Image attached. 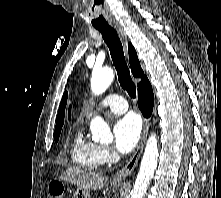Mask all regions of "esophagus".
<instances>
[{"label": "esophagus", "instance_id": "34e87169", "mask_svg": "<svg viewBox=\"0 0 221 198\" xmlns=\"http://www.w3.org/2000/svg\"><path fill=\"white\" fill-rule=\"evenodd\" d=\"M114 29L117 31L123 45L125 52L127 53V43H128V37L123 29V27L120 24H113ZM149 120L145 119L144 120V125H143V130H142V135L139 141V144L137 146L136 151L134 152L133 156L130 158L128 163L123 167L114 177H113V182L115 183H120L123 182L127 179L128 176L131 175V173L134 171L140 156L142 154L144 144L146 142L147 136H148V131H149Z\"/></svg>", "mask_w": 221, "mask_h": 198}]
</instances>
